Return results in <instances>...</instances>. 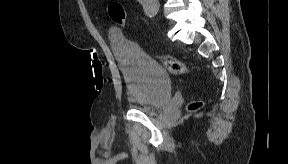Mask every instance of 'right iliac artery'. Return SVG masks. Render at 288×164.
Here are the masks:
<instances>
[{
  "label": "right iliac artery",
  "mask_w": 288,
  "mask_h": 164,
  "mask_svg": "<svg viewBox=\"0 0 288 164\" xmlns=\"http://www.w3.org/2000/svg\"><path fill=\"white\" fill-rule=\"evenodd\" d=\"M148 14H149V16H150V17H152V16H154V15H155V13H154V12H148Z\"/></svg>",
  "instance_id": "obj_1"
}]
</instances>
